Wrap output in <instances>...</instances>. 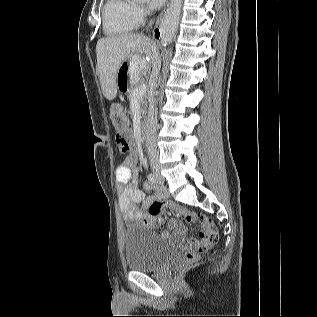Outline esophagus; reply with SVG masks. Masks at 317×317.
I'll use <instances>...</instances> for the list:
<instances>
[{
	"label": "esophagus",
	"instance_id": "34e87169",
	"mask_svg": "<svg viewBox=\"0 0 317 317\" xmlns=\"http://www.w3.org/2000/svg\"><path fill=\"white\" fill-rule=\"evenodd\" d=\"M153 36L157 39H163L162 32H161L160 28H158V26H156V28L154 29Z\"/></svg>",
	"mask_w": 317,
	"mask_h": 317
}]
</instances>
